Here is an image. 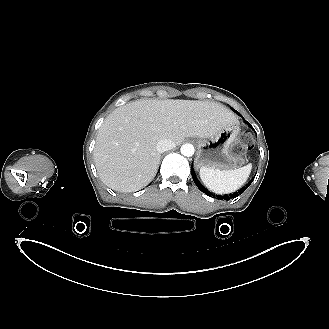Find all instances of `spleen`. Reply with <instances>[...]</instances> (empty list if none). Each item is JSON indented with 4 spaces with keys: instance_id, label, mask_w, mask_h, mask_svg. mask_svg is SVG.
<instances>
[{
    "instance_id": "3e777b00",
    "label": "spleen",
    "mask_w": 329,
    "mask_h": 329,
    "mask_svg": "<svg viewBox=\"0 0 329 329\" xmlns=\"http://www.w3.org/2000/svg\"><path fill=\"white\" fill-rule=\"evenodd\" d=\"M251 169V164L238 169L223 171L201 168L199 174L207 188L215 193L225 194L239 189L247 181Z\"/></svg>"
}]
</instances>
